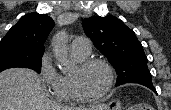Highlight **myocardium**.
I'll list each match as a JSON object with an SVG mask.
<instances>
[{
    "label": "myocardium",
    "mask_w": 171,
    "mask_h": 110,
    "mask_svg": "<svg viewBox=\"0 0 171 110\" xmlns=\"http://www.w3.org/2000/svg\"><path fill=\"white\" fill-rule=\"evenodd\" d=\"M92 65H102L107 70L108 83L105 89L101 93L94 95V96H88L80 90V87L78 85L76 78L73 76H70L69 81H70L71 92H72L74 99L78 102L91 103V102L101 100L102 98L106 97L109 94V92L112 90L114 86V82H115L114 69L111 66V64L108 63L106 60L98 59V58L85 59L79 62L77 66V70L78 72H82Z\"/></svg>",
    "instance_id": "obj_1"
}]
</instances>
